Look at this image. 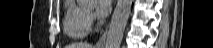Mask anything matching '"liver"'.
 Segmentation results:
<instances>
[{
	"mask_svg": "<svg viewBox=\"0 0 213 48\" xmlns=\"http://www.w3.org/2000/svg\"><path fill=\"white\" fill-rule=\"evenodd\" d=\"M66 48H93L92 45L85 43V42H80V43H75L72 45H69V47Z\"/></svg>",
	"mask_w": 213,
	"mask_h": 48,
	"instance_id": "obj_1",
	"label": "liver"
}]
</instances>
